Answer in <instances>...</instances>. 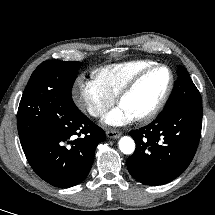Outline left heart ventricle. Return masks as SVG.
Wrapping results in <instances>:
<instances>
[{
	"instance_id": "obj_1",
	"label": "left heart ventricle",
	"mask_w": 215,
	"mask_h": 215,
	"mask_svg": "<svg viewBox=\"0 0 215 215\" xmlns=\"http://www.w3.org/2000/svg\"><path fill=\"white\" fill-rule=\"evenodd\" d=\"M169 82V73L160 68L149 73L136 88L126 96L122 105L132 116L138 117L150 111L164 93Z\"/></svg>"
}]
</instances>
